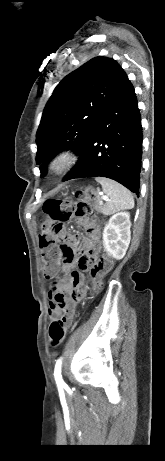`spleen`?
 I'll return each mask as SVG.
<instances>
[{
    "label": "spleen",
    "mask_w": 165,
    "mask_h": 461,
    "mask_svg": "<svg viewBox=\"0 0 165 461\" xmlns=\"http://www.w3.org/2000/svg\"><path fill=\"white\" fill-rule=\"evenodd\" d=\"M96 181L101 184L104 193L109 197L108 202L102 207L105 215L134 207L132 193L127 188L108 178L97 177Z\"/></svg>",
    "instance_id": "obj_1"
}]
</instances>
